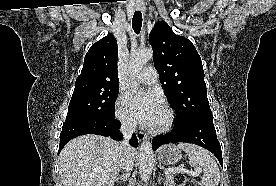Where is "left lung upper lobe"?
I'll return each mask as SVG.
<instances>
[{
    "instance_id": "5c2ea615",
    "label": "left lung upper lobe",
    "mask_w": 276,
    "mask_h": 186,
    "mask_svg": "<svg viewBox=\"0 0 276 186\" xmlns=\"http://www.w3.org/2000/svg\"><path fill=\"white\" fill-rule=\"evenodd\" d=\"M149 41L165 95L177 114L174 124L212 115L201 58L192 42L176 35L165 21L154 25Z\"/></svg>"
}]
</instances>
